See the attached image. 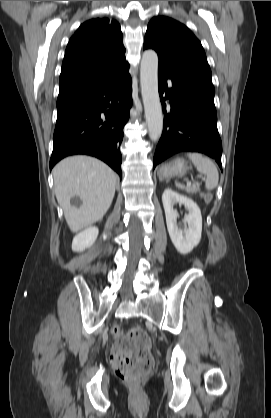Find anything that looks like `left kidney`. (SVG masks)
<instances>
[{"label":"left kidney","instance_id":"5707ae66","mask_svg":"<svg viewBox=\"0 0 271 418\" xmlns=\"http://www.w3.org/2000/svg\"><path fill=\"white\" fill-rule=\"evenodd\" d=\"M162 202L166 215L167 229L172 243L181 254L191 252L201 240L202 216L200 208L192 199L180 195L170 188L165 189L163 192ZM175 203L184 205L189 212L184 217V221L188 225L184 232L177 225L179 215L173 208Z\"/></svg>","mask_w":271,"mask_h":418}]
</instances>
